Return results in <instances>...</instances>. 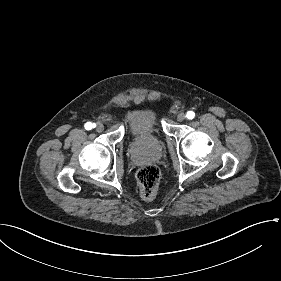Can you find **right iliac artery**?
<instances>
[{"instance_id": "right-iliac-artery-1", "label": "right iliac artery", "mask_w": 281, "mask_h": 281, "mask_svg": "<svg viewBox=\"0 0 281 281\" xmlns=\"http://www.w3.org/2000/svg\"><path fill=\"white\" fill-rule=\"evenodd\" d=\"M93 127H94V124H92L91 122H87V123L85 124V128H86L87 130H91Z\"/></svg>"}]
</instances>
